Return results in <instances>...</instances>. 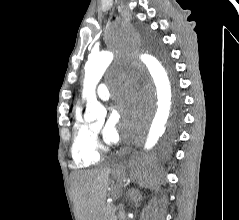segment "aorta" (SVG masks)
<instances>
[{
  "label": "aorta",
  "instance_id": "1",
  "mask_svg": "<svg viewBox=\"0 0 239 220\" xmlns=\"http://www.w3.org/2000/svg\"><path fill=\"white\" fill-rule=\"evenodd\" d=\"M117 40H131L128 33H116ZM132 45H112L111 48ZM116 53H110V49L93 54L85 65V79L83 97L87 100L85 119L94 122L106 116V109L99 103L96 97V86L105 70L111 64ZM138 55V54H137ZM141 55L142 65H134L140 68L146 67L157 92V110L150 125L145 141L144 149L151 150L159 141L168 121L171 108V86L164 64L156 57L147 54ZM126 58V57H125Z\"/></svg>",
  "mask_w": 239,
  "mask_h": 220
}]
</instances>
